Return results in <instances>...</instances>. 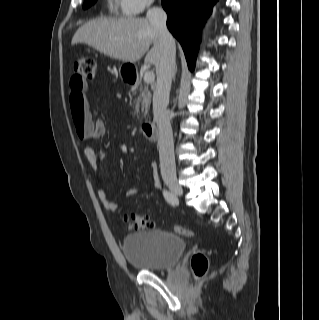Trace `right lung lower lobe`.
<instances>
[{"label":"right lung lower lobe","instance_id":"98d812e1","mask_svg":"<svg viewBox=\"0 0 319 320\" xmlns=\"http://www.w3.org/2000/svg\"><path fill=\"white\" fill-rule=\"evenodd\" d=\"M218 0H162L167 27L184 50L188 67L194 69L200 30Z\"/></svg>","mask_w":319,"mask_h":320}]
</instances>
